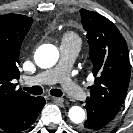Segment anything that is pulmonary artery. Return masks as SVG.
<instances>
[{
    "mask_svg": "<svg viewBox=\"0 0 133 133\" xmlns=\"http://www.w3.org/2000/svg\"><path fill=\"white\" fill-rule=\"evenodd\" d=\"M59 63L52 69L26 79L27 85L53 84L59 82L66 94L75 100L85 98V92L69 76V71L78 55L79 47L62 44Z\"/></svg>",
    "mask_w": 133,
    "mask_h": 133,
    "instance_id": "1",
    "label": "pulmonary artery"
}]
</instances>
